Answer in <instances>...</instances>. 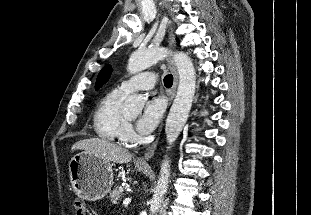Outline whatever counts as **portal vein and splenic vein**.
Here are the masks:
<instances>
[{
	"label": "portal vein and splenic vein",
	"instance_id": "18ae733b",
	"mask_svg": "<svg viewBox=\"0 0 311 215\" xmlns=\"http://www.w3.org/2000/svg\"><path fill=\"white\" fill-rule=\"evenodd\" d=\"M130 202H131V199L130 198H126L124 201H123V205H128V204H130Z\"/></svg>",
	"mask_w": 311,
	"mask_h": 215
}]
</instances>
